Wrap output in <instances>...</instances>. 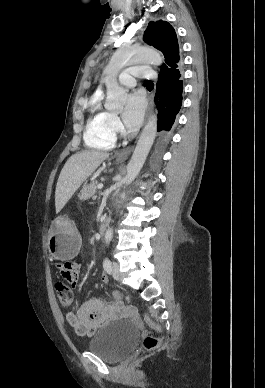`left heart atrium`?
<instances>
[{"label": "left heart atrium", "instance_id": "obj_1", "mask_svg": "<svg viewBox=\"0 0 265 388\" xmlns=\"http://www.w3.org/2000/svg\"><path fill=\"white\" fill-rule=\"evenodd\" d=\"M144 109L145 101L140 92L128 94L122 114L124 122L130 127H136L142 120Z\"/></svg>", "mask_w": 265, "mask_h": 388}]
</instances>
